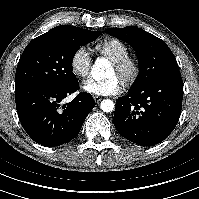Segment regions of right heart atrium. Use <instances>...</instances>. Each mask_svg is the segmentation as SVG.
I'll return each instance as SVG.
<instances>
[{
    "mask_svg": "<svg viewBox=\"0 0 199 199\" xmlns=\"http://www.w3.org/2000/svg\"><path fill=\"white\" fill-rule=\"evenodd\" d=\"M90 68L91 56L89 50L85 47H79L70 58V69L72 73L76 77L83 79L88 75Z\"/></svg>",
    "mask_w": 199,
    "mask_h": 199,
    "instance_id": "right-heart-atrium-1",
    "label": "right heart atrium"
}]
</instances>
